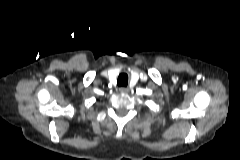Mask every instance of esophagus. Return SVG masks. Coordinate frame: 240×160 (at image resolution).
<instances>
[{
	"label": "esophagus",
	"mask_w": 240,
	"mask_h": 160,
	"mask_svg": "<svg viewBox=\"0 0 240 160\" xmlns=\"http://www.w3.org/2000/svg\"><path fill=\"white\" fill-rule=\"evenodd\" d=\"M119 91L120 93L125 94V93H128L129 90L126 87H121Z\"/></svg>",
	"instance_id": "1"
}]
</instances>
